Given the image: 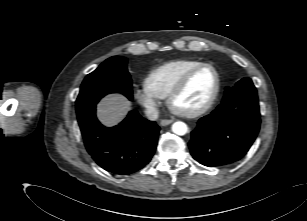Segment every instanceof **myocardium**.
<instances>
[{
    "instance_id": "1",
    "label": "myocardium",
    "mask_w": 307,
    "mask_h": 221,
    "mask_svg": "<svg viewBox=\"0 0 307 221\" xmlns=\"http://www.w3.org/2000/svg\"><path fill=\"white\" fill-rule=\"evenodd\" d=\"M204 68H210L213 70L214 74H215V78H216V82H215V88L214 91L210 97V99L200 108H197L195 110L192 111H180L175 107V100L184 92V90L187 88L188 84L190 83V81L192 80V78L202 69ZM220 87H221V78H220V74L219 71L217 70V68L215 66H213L212 64L209 63H202L199 66L191 69L190 71H188L182 78L181 80L177 83V85L172 89V91L170 92V94L167 97V104L169 109L171 110L172 113L178 115V116H182V117H186V118H196L199 117L203 114H205L206 112H208L213 105L215 104L219 92H220Z\"/></svg>"
}]
</instances>
